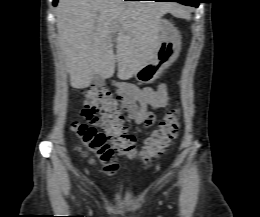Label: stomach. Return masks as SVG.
Listing matches in <instances>:
<instances>
[{
	"mask_svg": "<svg viewBox=\"0 0 260 217\" xmlns=\"http://www.w3.org/2000/svg\"><path fill=\"white\" fill-rule=\"evenodd\" d=\"M159 35L160 41L154 59L142 65L134 75L141 83H151L156 80L179 55V36L168 21H160Z\"/></svg>",
	"mask_w": 260,
	"mask_h": 217,
	"instance_id": "stomach-1",
	"label": "stomach"
}]
</instances>
